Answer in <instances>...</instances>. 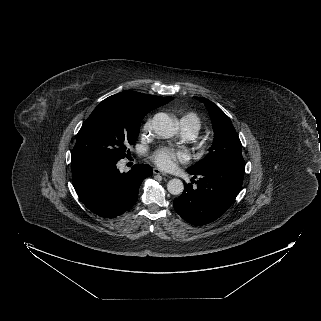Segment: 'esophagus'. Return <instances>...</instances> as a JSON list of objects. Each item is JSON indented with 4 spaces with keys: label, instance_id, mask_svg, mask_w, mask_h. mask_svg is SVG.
<instances>
[{
    "label": "esophagus",
    "instance_id": "34e87169",
    "mask_svg": "<svg viewBox=\"0 0 321 321\" xmlns=\"http://www.w3.org/2000/svg\"><path fill=\"white\" fill-rule=\"evenodd\" d=\"M153 173H154V174H158V175H162V176H168L165 172L161 171V170L158 169V168H154V169H153Z\"/></svg>",
    "mask_w": 321,
    "mask_h": 321
}]
</instances>
